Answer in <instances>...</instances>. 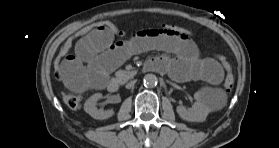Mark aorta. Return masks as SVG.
I'll list each match as a JSON object with an SVG mask.
<instances>
[{"instance_id":"762f6f07","label":"aorta","mask_w":279,"mask_h":148,"mask_svg":"<svg viewBox=\"0 0 279 148\" xmlns=\"http://www.w3.org/2000/svg\"><path fill=\"white\" fill-rule=\"evenodd\" d=\"M143 82L145 87L153 88L157 85L158 79L156 75L150 73L144 76Z\"/></svg>"}]
</instances>
